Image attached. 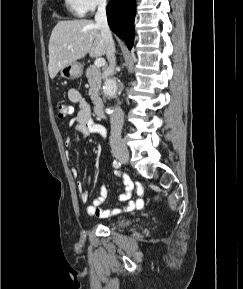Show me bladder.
<instances>
[{
    "label": "bladder",
    "mask_w": 243,
    "mask_h": 289,
    "mask_svg": "<svg viewBox=\"0 0 243 289\" xmlns=\"http://www.w3.org/2000/svg\"><path fill=\"white\" fill-rule=\"evenodd\" d=\"M129 223V221L127 219H114L110 221V225L114 226V227H124Z\"/></svg>",
    "instance_id": "bladder-1"
}]
</instances>
